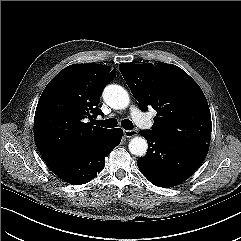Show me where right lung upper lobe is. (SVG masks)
I'll list each match as a JSON object with an SVG mask.
<instances>
[{
	"mask_svg": "<svg viewBox=\"0 0 241 241\" xmlns=\"http://www.w3.org/2000/svg\"><path fill=\"white\" fill-rule=\"evenodd\" d=\"M114 75L115 70L105 65L73 64L48 83L34 117L35 144L45 163L79 154L112 130L92 126L84 119L103 114L97 105Z\"/></svg>",
	"mask_w": 241,
	"mask_h": 241,
	"instance_id": "right-lung-upper-lobe-1",
	"label": "right lung upper lobe"
}]
</instances>
